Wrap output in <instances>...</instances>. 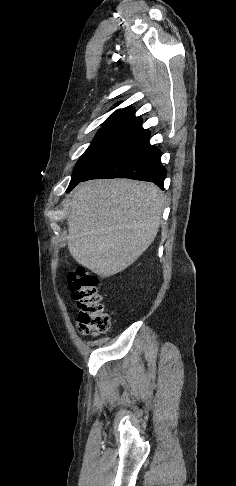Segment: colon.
<instances>
[{"mask_svg":"<svg viewBox=\"0 0 236 486\" xmlns=\"http://www.w3.org/2000/svg\"><path fill=\"white\" fill-rule=\"evenodd\" d=\"M68 282L72 299L79 310V332L85 336L106 333L110 328V318L98 292V278L81 268L69 275Z\"/></svg>","mask_w":236,"mask_h":486,"instance_id":"1","label":"colon"}]
</instances>
